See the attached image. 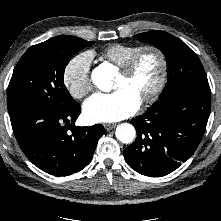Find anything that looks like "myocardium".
Instances as JSON below:
<instances>
[{
  "label": "myocardium",
  "instance_id": "myocardium-1",
  "mask_svg": "<svg viewBox=\"0 0 221 221\" xmlns=\"http://www.w3.org/2000/svg\"><path fill=\"white\" fill-rule=\"evenodd\" d=\"M147 52H152L154 53L158 59H159V64H160V71H159V76L157 79L156 84L154 87L142 97L140 100L141 103L143 104H148L153 101H155L159 95L161 94L165 83L167 79V73H168V62L166 55L164 52L156 47V46H144L138 49L136 52H134L127 60L126 62L120 67V73L123 74L124 76H129L133 73V71L136 68V65L141 58V56Z\"/></svg>",
  "mask_w": 221,
  "mask_h": 221
}]
</instances>
